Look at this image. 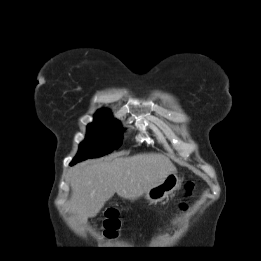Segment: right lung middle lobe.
<instances>
[{"label": "right lung middle lobe", "mask_w": 261, "mask_h": 261, "mask_svg": "<svg viewBox=\"0 0 261 261\" xmlns=\"http://www.w3.org/2000/svg\"><path fill=\"white\" fill-rule=\"evenodd\" d=\"M95 121L88 125L86 140L80 144L73 161L76 163L88 158L100 157L120 147L123 129L118 120L112 118L107 110H99Z\"/></svg>", "instance_id": "obj_1"}]
</instances>
